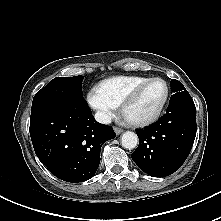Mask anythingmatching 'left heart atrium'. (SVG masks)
Masks as SVG:
<instances>
[{"mask_svg":"<svg viewBox=\"0 0 221 221\" xmlns=\"http://www.w3.org/2000/svg\"><path fill=\"white\" fill-rule=\"evenodd\" d=\"M126 119L130 121V118L128 116H126Z\"/></svg>","mask_w":221,"mask_h":221,"instance_id":"obj_1","label":"left heart atrium"}]
</instances>
